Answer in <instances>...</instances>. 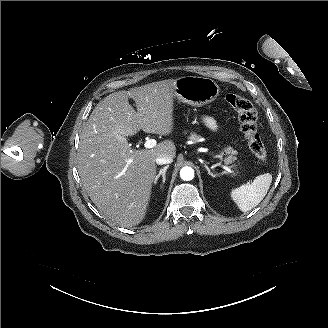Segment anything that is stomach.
Here are the masks:
<instances>
[{"instance_id": "obj_1", "label": "stomach", "mask_w": 328, "mask_h": 328, "mask_svg": "<svg viewBox=\"0 0 328 328\" xmlns=\"http://www.w3.org/2000/svg\"><path fill=\"white\" fill-rule=\"evenodd\" d=\"M176 95L193 107H203L216 100L220 94L218 84L211 78L182 77L176 81Z\"/></svg>"}]
</instances>
